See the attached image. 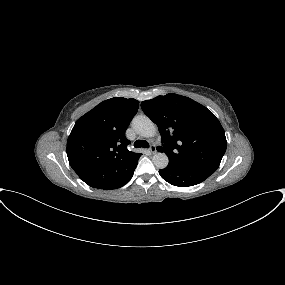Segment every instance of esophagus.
Segmentation results:
<instances>
[{
    "mask_svg": "<svg viewBox=\"0 0 285 285\" xmlns=\"http://www.w3.org/2000/svg\"><path fill=\"white\" fill-rule=\"evenodd\" d=\"M148 151H149L151 154H155V153H156V147H155V145H151L150 148L148 149Z\"/></svg>",
    "mask_w": 285,
    "mask_h": 285,
    "instance_id": "34e87169",
    "label": "esophagus"
}]
</instances>
